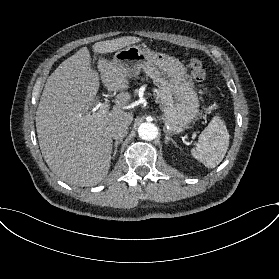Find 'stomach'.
Wrapping results in <instances>:
<instances>
[{"mask_svg": "<svg viewBox=\"0 0 279 279\" xmlns=\"http://www.w3.org/2000/svg\"><path fill=\"white\" fill-rule=\"evenodd\" d=\"M114 60L130 76H138L142 70L159 87L162 120L169 133L180 135L193 125L199 100L187 68L178 58L134 45L118 51Z\"/></svg>", "mask_w": 279, "mask_h": 279, "instance_id": "stomach-1", "label": "stomach"}]
</instances>
